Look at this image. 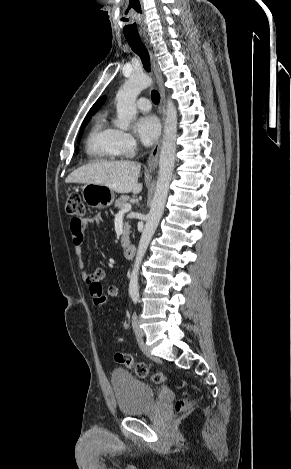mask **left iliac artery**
<instances>
[{"mask_svg":"<svg viewBox=\"0 0 291 469\" xmlns=\"http://www.w3.org/2000/svg\"><path fill=\"white\" fill-rule=\"evenodd\" d=\"M132 299H133L134 303H137L138 300H139V294H138V293H134V294L132 295Z\"/></svg>","mask_w":291,"mask_h":469,"instance_id":"left-iliac-artery-1","label":"left iliac artery"}]
</instances>
